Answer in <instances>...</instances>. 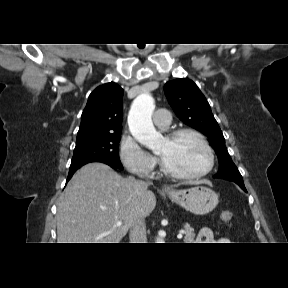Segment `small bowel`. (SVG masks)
I'll use <instances>...</instances> for the list:
<instances>
[{
	"label": "small bowel",
	"instance_id": "obj_1",
	"mask_svg": "<svg viewBox=\"0 0 288 288\" xmlns=\"http://www.w3.org/2000/svg\"><path fill=\"white\" fill-rule=\"evenodd\" d=\"M199 243H229V239L225 237H221L219 239H215L213 235V231L210 228H203L200 230L198 235Z\"/></svg>",
	"mask_w": 288,
	"mask_h": 288
}]
</instances>
